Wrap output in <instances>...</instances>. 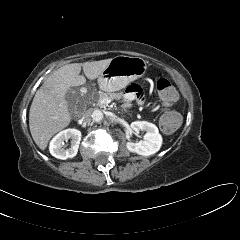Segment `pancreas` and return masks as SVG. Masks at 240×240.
<instances>
[{"instance_id": "cf45deb5", "label": "pancreas", "mask_w": 240, "mask_h": 240, "mask_svg": "<svg viewBox=\"0 0 240 240\" xmlns=\"http://www.w3.org/2000/svg\"><path fill=\"white\" fill-rule=\"evenodd\" d=\"M121 97H122L121 93H104L99 91L97 94L89 98L90 100L89 103L94 104L96 106H104V104L100 102L103 98L119 100L121 99ZM121 107H122V111H126V108L124 105H122Z\"/></svg>"}]
</instances>
